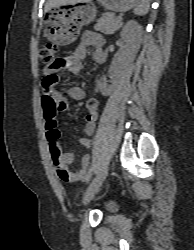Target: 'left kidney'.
<instances>
[{"mask_svg":"<svg viewBox=\"0 0 194 250\" xmlns=\"http://www.w3.org/2000/svg\"><path fill=\"white\" fill-rule=\"evenodd\" d=\"M143 29L135 20L128 21L123 27L120 36L125 42L128 64L133 62L138 53L142 41Z\"/></svg>","mask_w":194,"mask_h":250,"instance_id":"left-kidney-1","label":"left kidney"}]
</instances>
